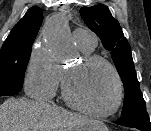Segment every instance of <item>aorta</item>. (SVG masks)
<instances>
[{"mask_svg": "<svg viewBox=\"0 0 151 131\" xmlns=\"http://www.w3.org/2000/svg\"><path fill=\"white\" fill-rule=\"evenodd\" d=\"M44 38L51 45L58 61H69L74 57V44L67 31L63 16L53 18L48 24Z\"/></svg>", "mask_w": 151, "mask_h": 131, "instance_id": "1", "label": "aorta"}]
</instances>
